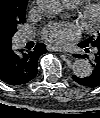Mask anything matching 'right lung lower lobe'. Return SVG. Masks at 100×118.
I'll return each mask as SVG.
<instances>
[{"label": "right lung lower lobe", "mask_w": 100, "mask_h": 118, "mask_svg": "<svg viewBox=\"0 0 100 118\" xmlns=\"http://www.w3.org/2000/svg\"><path fill=\"white\" fill-rule=\"evenodd\" d=\"M46 53L45 45L38 43L32 50L0 51V79L8 85H23L37 74V61Z\"/></svg>", "instance_id": "obj_1"}]
</instances>
